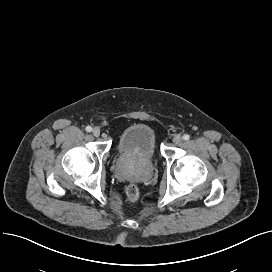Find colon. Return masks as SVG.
I'll use <instances>...</instances> for the list:
<instances>
[{
    "instance_id": "colon-1",
    "label": "colon",
    "mask_w": 272,
    "mask_h": 272,
    "mask_svg": "<svg viewBox=\"0 0 272 272\" xmlns=\"http://www.w3.org/2000/svg\"><path fill=\"white\" fill-rule=\"evenodd\" d=\"M126 197L131 204H135L140 197V190L138 186L131 184L126 188Z\"/></svg>"
}]
</instances>
